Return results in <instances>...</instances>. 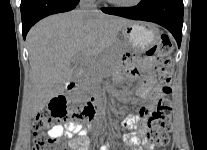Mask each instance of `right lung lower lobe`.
<instances>
[{
    "mask_svg": "<svg viewBox=\"0 0 207 150\" xmlns=\"http://www.w3.org/2000/svg\"><path fill=\"white\" fill-rule=\"evenodd\" d=\"M79 0H22L20 9L23 25V38L29 29L40 19L56 13L74 9Z\"/></svg>",
    "mask_w": 207,
    "mask_h": 150,
    "instance_id": "obj_1",
    "label": "right lung lower lobe"
}]
</instances>
